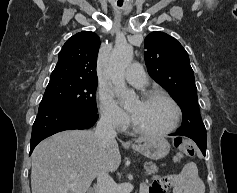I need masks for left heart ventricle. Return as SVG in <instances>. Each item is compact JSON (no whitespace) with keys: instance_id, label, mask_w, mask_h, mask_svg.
<instances>
[{"instance_id":"1","label":"left heart ventricle","mask_w":237,"mask_h":193,"mask_svg":"<svg viewBox=\"0 0 237 193\" xmlns=\"http://www.w3.org/2000/svg\"><path fill=\"white\" fill-rule=\"evenodd\" d=\"M133 122L146 130L159 131L168 128L174 120L172 105L163 98L147 102L134 101L128 108Z\"/></svg>"}]
</instances>
